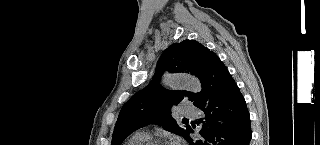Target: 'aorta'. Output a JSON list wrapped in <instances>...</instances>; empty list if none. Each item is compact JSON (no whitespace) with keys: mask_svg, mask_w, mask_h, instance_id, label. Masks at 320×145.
<instances>
[{"mask_svg":"<svg viewBox=\"0 0 320 145\" xmlns=\"http://www.w3.org/2000/svg\"><path fill=\"white\" fill-rule=\"evenodd\" d=\"M163 83L165 86L173 89H187L192 92H199L201 90L200 81L186 74H168L164 77Z\"/></svg>","mask_w":320,"mask_h":145,"instance_id":"obj_1","label":"aorta"}]
</instances>
